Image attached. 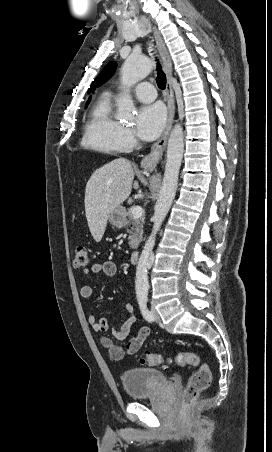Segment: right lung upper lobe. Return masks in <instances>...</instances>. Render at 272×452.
Here are the masks:
<instances>
[{"label":"right lung upper lobe","instance_id":"cb5924a9","mask_svg":"<svg viewBox=\"0 0 272 452\" xmlns=\"http://www.w3.org/2000/svg\"><path fill=\"white\" fill-rule=\"evenodd\" d=\"M89 101H90V98H89V100L87 101V104L89 103Z\"/></svg>","mask_w":272,"mask_h":452}]
</instances>
